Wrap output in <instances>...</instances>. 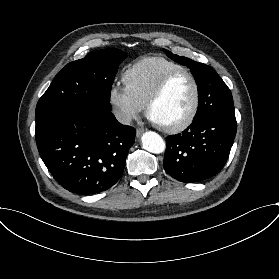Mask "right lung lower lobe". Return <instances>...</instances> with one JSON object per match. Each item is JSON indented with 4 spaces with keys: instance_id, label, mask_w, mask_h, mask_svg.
<instances>
[{
    "instance_id": "1",
    "label": "right lung lower lobe",
    "mask_w": 279,
    "mask_h": 279,
    "mask_svg": "<svg viewBox=\"0 0 279 279\" xmlns=\"http://www.w3.org/2000/svg\"><path fill=\"white\" fill-rule=\"evenodd\" d=\"M36 144L54 179L79 195L106 191L120 179L135 129L86 102L36 115Z\"/></svg>"
}]
</instances>
